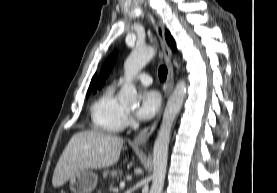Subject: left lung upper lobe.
Instances as JSON below:
<instances>
[{
	"label": "left lung upper lobe",
	"instance_id": "5c2ea615",
	"mask_svg": "<svg viewBox=\"0 0 277 193\" xmlns=\"http://www.w3.org/2000/svg\"><path fill=\"white\" fill-rule=\"evenodd\" d=\"M116 59H117V53L115 52L112 55H110L107 58V60L105 61L104 65L102 67L96 88H95V92L98 88H101L104 85V83L106 82V78L109 75L110 71L112 70Z\"/></svg>",
	"mask_w": 277,
	"mask_h": 193
}]
</instances>
